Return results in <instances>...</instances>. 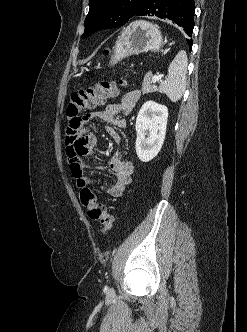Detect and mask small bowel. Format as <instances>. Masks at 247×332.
I'll use <instances>...</instances> for the list:
<instances>
[{"label": "small bowel", "instance_id": "small-bowel-1", "mask_svg": "<svg viewBox=\"0 0 247 332\" xmlns=\"http://www.w3.org/2000/svg\"><path fill=\"white\" fill-rule=\"evenodd\" d=\"M139 93L132 91L127 93L119 102L106 105L103 110L86 114L85 124L91 120L100 119L106 123V133L116 142L120 143L121 137L116 131L115 126H125V121L120 119V113L129 114L138 101ZM84 126L75 134L68 135L66 143V156L69 163L71 174L80 189L87 188L90 184H98L101 190L111 196L118 197L124 191L126 185L131 182L134 172L132 162L121 157L116 152L109 160V167L113 172L110 182L97 183L89 176V171L103 170V166L94 168L88 166L83 158L93 155V148L96 144V136Z\"/></svg>", "mask_w": 247, "mask_h": 332}]
</instances>
